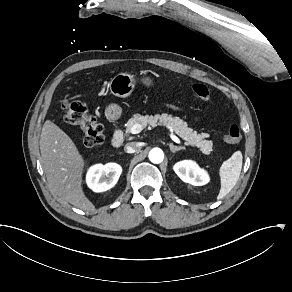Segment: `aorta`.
I'll return each mask as SVG.
<instances>
[{
  "mask_svg": "<svg viewBox=\"0 0 292 292\" xmlns=\"http://www.w3.org/2000/svg\"><path fill=\"white\" fill-rule=\"evenodd\" d=\"M149 160L154 164H160L164 160V154L160 149H153L149 153Z\"/></svg>",
  "mask_w": 292,
  "mask_h": 292,
  "instance_id": "762f6f07",
  "label": "aorta"
}]
</instances>
